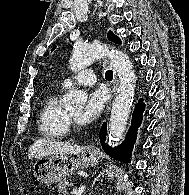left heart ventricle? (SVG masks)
<instances>
[{"mask_svg":"<svg viewBox=\"0 0 189 195\" xmlns=\"http://www.w3.org/2000/svg\"><path fill=\"white\" fill-rule=\"evenodd\" d=\"M81 112V108H76V109H72V110H69V113L74 116L76 119L78 117V115L80 114Z\"/></svg>","mask_w":189,"mask_h":195,"instance_id":"left-heart-ventricle-1","label":"left heart ventricle"}]
</instances>
